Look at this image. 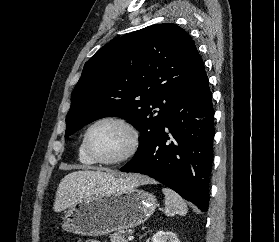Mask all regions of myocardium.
I'll return each mask as SVG.
<instances>
[{
	"label": "myocardium",
	"instance_id": "myocardium-1",
	"mask_svg": "<svg viewBox=\"0 0 279 242\" xmlns=\"http://www.w3.org/2000/svg\"><path fill=\"white\" fill-rule=\"evenodd\" d=\"M107 122H111V123H116L121 125L122 127H124L130 136V142H129V146L127 148V150L120 156L116 157V158H112V159H101L96 157L91 149H90V144H89V138H90V134L92 132V130L102 124V123H107ZM140 132L138 130V128L128 119L124 118V117H120V116H104L101 118L96 119L95 121H93L87 128L85 134H84V138H83V146H84V150L87 154V156L91 159V161H93L96 164H101V165H118L121 163H124L128 160H130L131 158H133L136 153L139 150L140 147Z\"/></svg>",
	"mask_w": 279,
	"mask_h": 242
}]
</instances>
